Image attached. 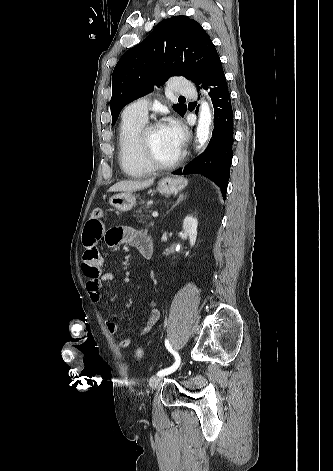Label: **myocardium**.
Returning a JSON list of instances; mask_svg holds the SVG:
<instances>
[{
	"instance_id": "myocardium-1",
	"label": "myocardium",
	"mask_w": 333,
	"mask_h": 471,
	"mask_svg": "<svg viewBox=\"0 0 333 471\" xmlns=\"http://www.w3.org/2000/svg\"><path fill=\"white\" fill-rule=\"evenodd\" d=\"M162 127V124L159 122L153 123L145 127L140 136H139V148L140 152L144 158V160L154 169V170H167V169H172L175 166H177L182 157H183V151L179 150L176 157L169 161V162H162L158 160L153 153L151 152L149 146H148V134L159 128Z\"/></svg>"
}]
</instances>
